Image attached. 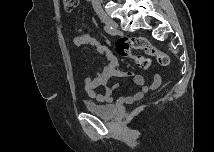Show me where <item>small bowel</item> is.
<instances>
[{
    "label": "small bowel",
    "mask_w": 215,
    "mask_h": 152,
    "mask_svg": "<svg viewBox=\"0 0 215 152\" xmlns=\"http://www.w3.org/2000/svg\"><path fill=\"white\" fill-rule=\"evenodd\" d=\"M73 45L76 47L89 45L104 58L103 70L98 72L94 78L86 77L84 79L87 93L100 102L113 101L114 91L120 88L119 83H114L113 85L108 86V82L114 77H130L133 84L138 87V90L132 95L117 97L116 101L119 104L139 100L149 90L157 89L161 84V76L158 74L154 76L152 83L147 86L145 85L144 79L141 75L135 74L131 71L120 70L117 58L113 51L97 38L90 36L81 29L78 30L77 35L73 38ZM100 88H104V91L100 92Z\"/></svg>",
    "instance_id": "obj_1"
}]
</instances>
